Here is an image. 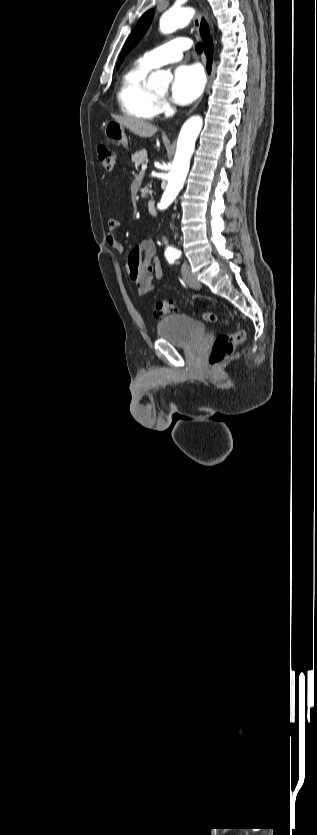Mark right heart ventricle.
<instances>
[{
	"label": "right heart ventricle",
	"instance_id": "e07e8e85",
	"mask_svg": "<svg viewBox=\"0 0 317 835\" xmlns=\"http://www.w3.org/2000/svg\"><path fill=\"white\" fill-rule=\"evenodd\" d=\"M152 67L138 59L123 74L117 91L121 111L130 117L150 120L158 113L159 97L147 86Z\"/></svg>",
	"mask_w": 317,
	"mask_h": 835
}]
</instances>
